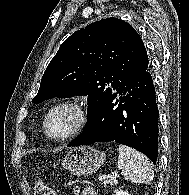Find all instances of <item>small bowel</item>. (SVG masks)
Segmentation results:
<instances>
[{
	"label": "small bowel",
	"mask_w": 189,
	"mask_h": 195,
	"mask_svg": "<svg viewBox=\"0 0 189 195\" xmlns=\"http://www.w3.org/2000/svg\"><path fill=\"white\" fill-rule=\"evenodd\" d=\"M83 195H97L96 191L92 187H87L83 191Z\"/></svg>",
	"instance_id": "c3829d8e"
}]
</instances>
